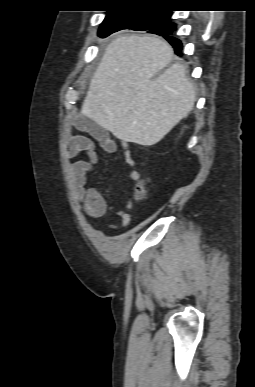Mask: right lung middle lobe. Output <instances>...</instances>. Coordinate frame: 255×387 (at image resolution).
<instances>
[{"instance_id":"1","label":"right lung middle lobe","mask_w":255,"mask_h":387,"mask_svg":"<svg viewBox=\"0 0 255 387\" xmlns=\"http://www.w3.org/2000/svg\"><path fill=\"white\" fill-rule=\"evenodd\" d=\"M171 12L159 10L155 12H126L108 14L100 26L98 35L101 38L117 32L121 29H133L150 31L157 34L172 32L176 25L170 22Z\"/></svg>"}]
</instances>
